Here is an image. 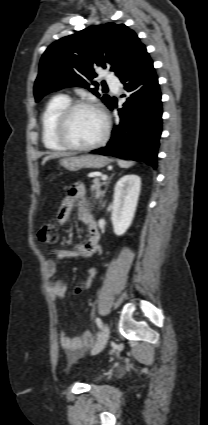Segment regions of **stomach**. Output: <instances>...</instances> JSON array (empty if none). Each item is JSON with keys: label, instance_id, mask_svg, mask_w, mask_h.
I'll use <instances>...</instances> for the list:
<instances>
[{"label": "stomach", "instance_id": "0dacf381", "mask_svg": "<svg viewBox=\"0 0 208 425\" xmlns=\"http://www.w3.org/2000/svg\"><path fill=\"white\" fill-rule=\"evenodd\" d=\"M110 163V159L98 155H81L78 157H67L60 164L69 171H78L83 168L100 169Z\"/></svg>", "mask_w": 208, "mask_h": 425}]
</instances>
